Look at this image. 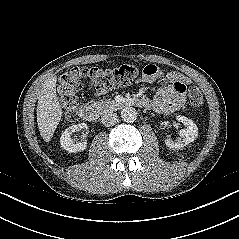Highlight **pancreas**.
<instances>
[{"label":"pancreas","mask_w":239,"mask_h":239,"mask_svg":"<svg viewBox=\"0 0 239 239\" xmlns=\"http://www.w3.org/2000/svg\"><path fill=\"white\" fill-rule=\"evenodd\" d=\"M114 101L105 100V101H97L93 103V107H95L99 111L109 110L113 106H115Z\"/></svg>","instance_id":"cf45deb5"}]
</instances>
